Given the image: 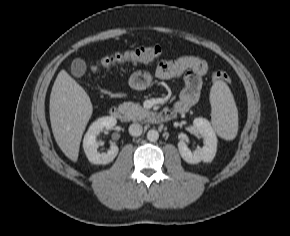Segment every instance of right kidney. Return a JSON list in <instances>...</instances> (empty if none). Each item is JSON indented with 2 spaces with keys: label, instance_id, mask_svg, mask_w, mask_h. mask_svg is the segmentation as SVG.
<instances>
[{
  "label": "right kidney",
  "instance_id": "right-kidney-1",
  "mask_svg": "<svg viewBox=\"0 0 290 236\" xmlns=\"http://www.w3.org/2000/svg\"><path fill=\"white\" fill-rule=\"evenodd\" d=\"M116 123L117 120L114 117L106 116L97 119L90 125L83 139V149L89 162L92 164L106 165L112 162L117 156L119 149L115 145L111 146V149L107 153H99V143L96 140L101 130L104 128L110 130Z\"/></svg>",
  "mask_w": 290,
  "mask_h": 236
}]
</instances>
